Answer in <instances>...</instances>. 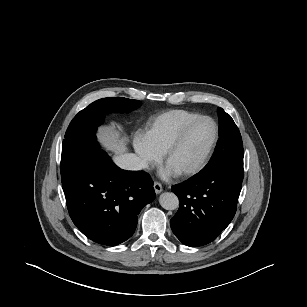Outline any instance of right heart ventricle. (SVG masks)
I'll return each mask as SVG.
<instances>
[{"label":"right heart ventricle","mask_w":307,"mask_h":307,"mask_svg":"<svg viewBox=\"0 0 307 307\" xmlns=\"http://www.w3.org/2000/svg\"><path fill=\"white\" fill-rule=\"evenodd\" d=\"M199 116L201 114L181 109L164 112L150 122L144 136L156 152L163 154L178 131Z\"/></svg>","instance_id":"right-heart-ventricle-1"}]
</instances>
